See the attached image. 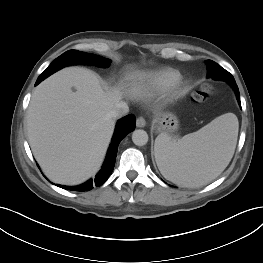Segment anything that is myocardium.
I'll return each mask as SVG.
<instances>
[{"label": "myocardium", "mask_w": 263, "mask_h": 263, "mask_svg": "<svg viewBox=\"0 0 263 263\" xmlns=\"http://www.w3.org/2000/svg\"><path fill=\"white\" fill-rule=\"evenodd\" d=\"M173 87L175 94H182L188 90L189 82L180 79Z\"/></svg>", "instance_id": "myocardium-1"}]
</instances>
